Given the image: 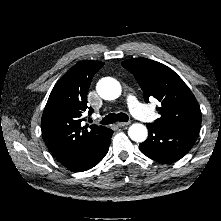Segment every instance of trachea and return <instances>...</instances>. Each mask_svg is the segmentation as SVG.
<instances>
[{
	"label": "trachea",
	"mask_w": 221,
	"mask_h": 221,
	"mask_svg": "<svg viewBox=\"0 0 221 221\" xmlns=\"http://www.w3.org/2000/svg\"><path fill=\"white\" fill-rule=\"evenodd\" d=\"M129 118L128 115L125 113H110L107 116H105L102 121L100 122L101 124L108 125L115 123L117 121L119 122H128Z\"/></svg>",
	"instance_id": "obj_1"
}]
</instances>
